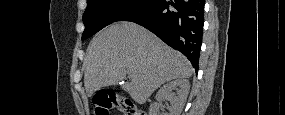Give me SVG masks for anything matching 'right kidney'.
Instances as JSON below:
<instances>
[{"mask_svg": "<svg viewBox=\"0 0 285 115\" xmlns=\"http://www.w3.org/2000/svg\"><path fill=\"white\" fill-rule=\"evenodd\" d=\"M179 87V90H178ZM177 90L176 93L173 90ZM190 90V83L186 79L171 81L160 88L156 94V103L150 105L149 115H159L161 102L168 100L170 106L164 115H180Z\"/></svg>", "mask_w": 285, "mask_h": 115, "instance_id": "right-kidney-1", "label": "right kidney"}]
</instances>
